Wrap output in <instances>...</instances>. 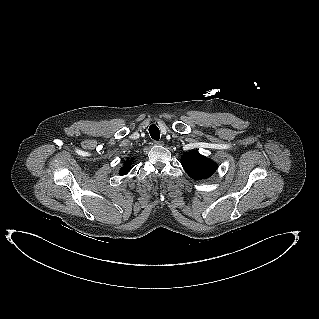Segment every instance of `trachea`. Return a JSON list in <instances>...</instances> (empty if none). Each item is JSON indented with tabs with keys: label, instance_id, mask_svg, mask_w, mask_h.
Returning a JSON list of instances; mask_svg holds the SVG:
<instances>
[{
	"label": "trachea",
	"instance_id": "3493384b",
	"mask_svg": "<svg viewBox=\"0 0 319 319\" xmlns=\"http://www.w3.org/2000/svg\"><path fill=\"white\" fill-rule=\"evenodd\" d=\"M149 133L152 139L158 141L160 139V132H159V128L155 125L152 124L149 127Z\"/></svg>",
	"mask_w": 319,
	"mask_h": 319
}]
</instances>
